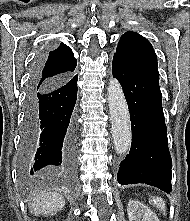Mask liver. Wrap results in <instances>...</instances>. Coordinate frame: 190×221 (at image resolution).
<instances>
[{"label": "liver", "mask_w": 190, "mask_h": 221, "mask_svg": "<svg viewBox=\"0 0 190 221\" xmlns=\"http://www.w3.org/2000/svg\"><path fill=\"white\" fill-rule=\"evenodd\" d=\"M65 205L64 198L57 193H40L30 201L29 207L32 214L44 216L55 215Z\"/></svg>", "instance_id": "6515ba94"}]
</instances>
